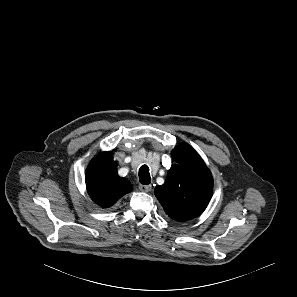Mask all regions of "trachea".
<instances>
[{"mask_svg":"<svg viewBox=\"0 0 297 297\" xmlns=\"http://www.w3.org/2000/svg\"><path fill=\"white\" fill-rule=\"evenodd\" d=\"M139 181L143 185H148L151 182L149 167L142 165L139 169Z\"/></svg>","mask_w":297,"mask_h":297,"instance_id":"trachea-1","label":"trachea"}]
</instances>
